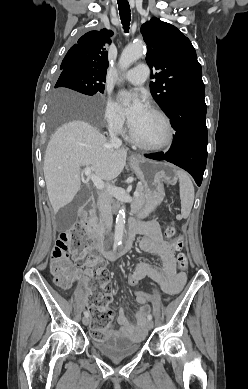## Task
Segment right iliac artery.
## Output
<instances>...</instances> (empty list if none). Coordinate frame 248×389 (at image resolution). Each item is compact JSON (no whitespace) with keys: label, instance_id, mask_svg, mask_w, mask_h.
<instances>
[{"label":"right iliac artery","instance_id":"82829eb1","mask_svg":"<svg viewBox=\"0 0 248 389\" xmlns=\"http://www.w3.org/2000/svg\"><path fill=\"white\" fill-rule=\"evenodd\" d=\"M84 316H85V317H89V312H88V311H85V312H84Z\"/></svg>","mask_w":248,"mask_h":389}]
</instances>
